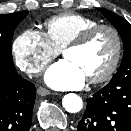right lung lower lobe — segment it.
<instances>
[{
  "label": "right lung lower lobe",
  "instance_id": "right-lung-lower-lobe-1",
  "mask_svg": "<svg viewBox=\"0 0 131 131\" xmlns=\"http://www.w3.org/2000/svg\"><path fill=\"white\" fill-rule=\"evenodd\" d=\"M35 91L17 74L13 61L0 60V131H29Z\"/></svg>",
  "mask_w": 131,
  "mask_h": 131
}]
</instances>
